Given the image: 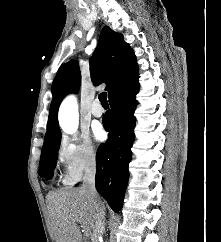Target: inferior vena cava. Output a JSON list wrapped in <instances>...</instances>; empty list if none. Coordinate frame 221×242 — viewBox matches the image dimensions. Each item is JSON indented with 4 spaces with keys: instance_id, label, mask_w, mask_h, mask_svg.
Instances as JSON below:
<instances>
[{
    "instance_id": "1",
    "label": "inferior vena cava",
    "mask_w": 221,
    "mask_h": 242,
    "mask_svg": "<svg viewBox=\"0 0 221 242\" xmlns=\"http://www.w3.org/2000/svg\"><path fill=\"white\" fill-rule=\"evenodd\" d=\"M95 173H96L95 163L92 162L85 168L82 189L83 191L86 192L91 203L95 206L96 217H95L94 233L96 236H98V235H103L105 231V208L101 203L95 188Z\"/></svg>"
}]
</instances>
